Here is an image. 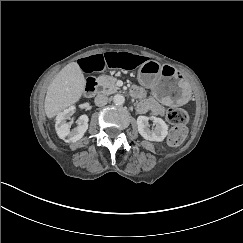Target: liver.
<instances>
[{"label":"liver","mask_w":243,"mask_h":243,"mask_svg":"<svg viewBox=\"0 0 243 243\" xmlns=\"http://www.w3.org/2000/svg\"><path fill=\"white\" fill-rule=\"evenodd\" d=\"M86 88V80L80 65L71 62L65 65L47 88L44 111L53 119L65 109L80 101Z\"/></svg>","instance_id":"1"}]
</instances>
